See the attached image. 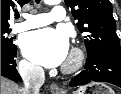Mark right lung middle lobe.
<instances>
[{"instance_id":"dd1d6c3e","label":"right lung middle lobe","mask_w":121,"mask_h":94,"mask_svg":"<svg viewBox=\"0 0 121 94\" xmlns=\"http://www.w3.org/2000/svg\"><path fill=\"white\" fill-rule=\"evenodd\" d=\"M9 32L10 29L1 30V49H11L16 47V45L13 44L12 39L7 37Z\"/></svg>"}]
</instances>
